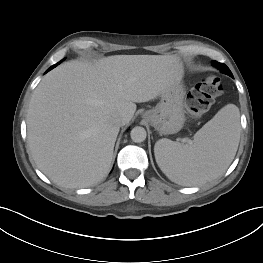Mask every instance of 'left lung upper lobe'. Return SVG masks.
<instances>
[{"mask_svg": "<svg viewBox=\"0 0 263 263\" xmlns=\"http://www.w3.org/2000/svg\"><path fill=\"white\" fill-rule=\"evenodd\" d=\"M212 65H213L214 67H217V68L221 69V71H222L223 73H225V74H227V75H229V76H231V77L233 76L232 73H231V71L229 70V68H228L225 64L219 63V62H216V61H212Z\"/></svg>", "mask_w": 263, "mask_h": 263, "instance_id": "obj_1", "label": "left lung upper lobe"}]
</instances>
